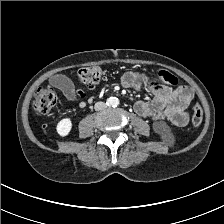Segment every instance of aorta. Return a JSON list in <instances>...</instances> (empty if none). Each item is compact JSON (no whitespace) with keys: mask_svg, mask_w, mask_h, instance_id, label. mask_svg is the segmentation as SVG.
<instances>
[{"mask_svg":"<svg viewBox=\"0 0 224 224\" xmlns=\"http://www.w3.org/2000/svg\"><path fill=\"white\" fill-rule=\"evenodd\" d=\"M118 103H119V101H118V99L117 98H110L109 99V104L111 105V106H117L118 105Z\"/></svg>","mask_w":224,"mask_h":224,"instance_id":"1","label":"aorta"}]
</instances>
